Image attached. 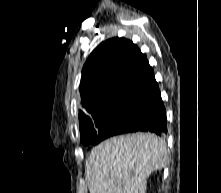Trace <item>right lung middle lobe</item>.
<instances>
[{"label":"right lung middle lobe","mask_w":221,"mask_h":193,"mask_svg":"<svg viewBox=\"0 0 221 193\" xmlns=\"http://www.w3.org/2000/svg\"><path fill=\"white\" fill-rule=\"evenodd\" d=\"M150 109L148 100L123 99L100 108L93 116L80 120L81 142L96 145L118 135L139 121Z\"/></svg>","instance_id":"dd1d6c3e"}]
</instances>
